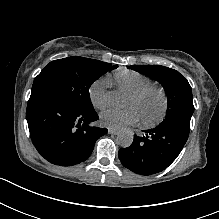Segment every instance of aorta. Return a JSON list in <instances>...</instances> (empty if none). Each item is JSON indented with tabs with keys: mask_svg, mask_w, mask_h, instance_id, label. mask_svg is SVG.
<instances>
[{
	"mask_svg": "<svg viewBox=\"0 0 219 219\" xmlns=\"http://www.w3.org/2000/svg\"><path fill=\"white\" fill-rule=\"evenodd\" d=\"M109 104L112 107L122 108L126 105V96L118 91H110L107 95ZM133 133L129 130H123L117 135V143L122 148L130 147L133 142Z\"/></svg>",
	"mask_w": 219,
	"mask_h": 219,
	"instance_id": "obj_1",
	"label": "aorta"
}]
</instances>
